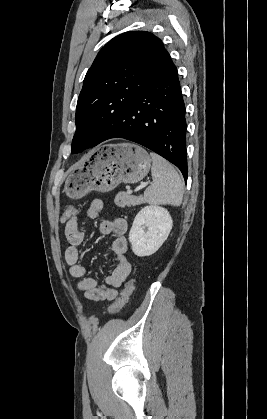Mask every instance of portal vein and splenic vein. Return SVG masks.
<instances>
[{
	"label": "portal vein and splenic vein",
	"instance_id": "1",
	"mask_svg": "<svg viewBox=\"0 0 267 419\" xmlns=\"http://www.w3.org/2000/svg\"><path fill=\"white\" fill-rule=\"evenodd\" d=\"M148 184H149L148 182H144V183H142V184L140 185V187H139L137 190H139V189H141V188L146 187ZM132 192H133V191H132V190H130V189H128V190H127V193H128V194H131Z\"/></svg>",
	"mask_w": 267,
	"mask_h": 419
}]
</instances>
